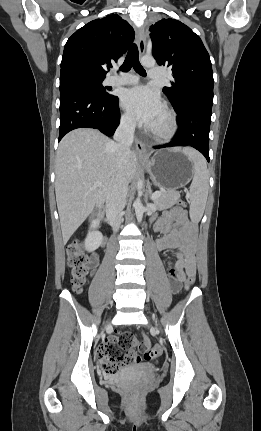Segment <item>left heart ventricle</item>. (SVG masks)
Returning a JSON list of instances; mask_svg holds the SVG:
<instances>
[{"label":"left heart ventricle","mask_w":261,"mask_h":431,"mask_svg":"<svg viewBox=\"0 0 261 431\" xmlns=\"http://www.w3.org/2000/svg\"><path fill=\"white\" fill-rule=\"evenodd\" d=\"M166 125H167V122H166V118H165V115L163 112V114L160 116V118L158 119V121L156 122V124L152 128L164 129L166 127Z\"/></svg>","instance_id":"left-heart-ventricle-1"}]
</instances>
